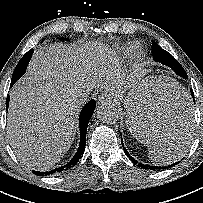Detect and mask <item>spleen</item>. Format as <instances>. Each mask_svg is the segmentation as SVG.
I'll return each mask as SVG.
<instances>
[{
    "instance_id": "obj_1",
    "label": "spleen",
    "mask_w": 203,
    "mask_h": 203,
    "mask_svg": "<svg viewBox=\"0 0 203 203\" xmlns=\"http://www.w3.org/2000/svg\"><path fill=\"white\" fill-rule=\"evenodd\" d=\"M150 88L144 91L143 98L139 102L138 105L142 106L146 104V107L149 109H156V114L151 113V122L142 121V117L138 118L137 116H133L131 120L127 121V125L133 136L137 138L140 142L146 144L148 146L149 159L151 162L158 165H167L179 160L183 155L188 151V147L190 144L189 136L186 137L187 140L184 143L187 146L176 145L172 142V140H167L163 143L156 144L142 131V128H150L152 127V132L156 131L157 127L155 126V122L158 120L160 115L163 113H181L182 109H187L191 113V103L189 99V95L174 80L166 79H158L152 82L149 85ZM140 109L138 106L137 110ZM149 117V116H148Z\"/></svg>"
}]
</instances>
